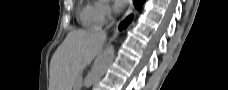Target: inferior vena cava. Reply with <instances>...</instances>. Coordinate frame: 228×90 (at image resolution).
<instances>
[{
    "instance_id": "obj_1",
    "label": "inferior vena cava",
    "mask_w": 228,
    "mask_h": 90,
    "mask_svg": "<svg viewBox=\"0 0 228 90\" xmlns=\"http://www.w3.org/2000/svg\"><path fill=\"white\" fill-rule=\"evenodd\" d=\"M109 18L112 19V18H111V15H109ZM107 28H108V27H107ZM98 33H99L100 35H102V36H106V29L100 30V31H98Z\"/></svg>"
}]
</instances>
